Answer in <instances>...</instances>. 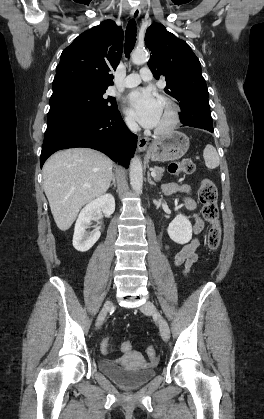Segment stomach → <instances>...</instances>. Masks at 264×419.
Here are the masks:
<instances>
[{
    "instance_id": "obj_1",
    "label": "stomach",
    "mask_w": 264,
    "mask_h": 419,
    "mask_svg": "<svg viewBox=\"0 0 264 419\" xmlns=\"http://www.w3.org/2000/svg\"><path fill=\"white\" fill-rule=\"evenodd\" d=\"M189 148V138L182 132L173 131L152 142L148 154L152 161H174L180 159Z\"/></svg>"
}]
</instances>
